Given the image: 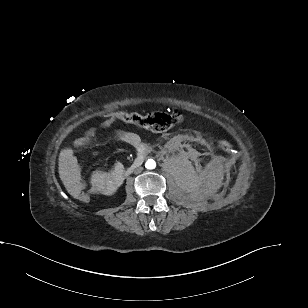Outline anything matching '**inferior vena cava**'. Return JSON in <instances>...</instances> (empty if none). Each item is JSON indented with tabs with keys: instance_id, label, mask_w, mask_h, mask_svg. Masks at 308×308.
<instances>
[{
	"instance_id": "1",
	"label": "inferior vena cava",
	"mask_w": 308,
	"mask_h": 308,
	"mask_svg": "<svg viewBox=\"0 0 308 308\" xmlns=\"http://www.w3.org/2000/svg\"><path fill=\"white\" fill-rule=\"evenodd\" d=\"M141 171H142V168H141V167H138V168L135 169L134 172H135V173H140Z\"/></svg>"
}]
</instances>
